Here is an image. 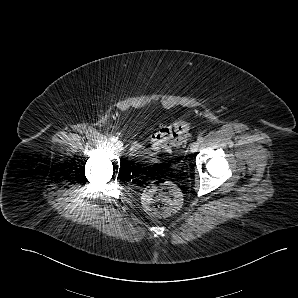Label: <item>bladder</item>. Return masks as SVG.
I'll list each match as a JSON object with an SVG mask.
<instances>
[{"label": "bladder", "mask_w": 298, "mask_h": 298, "mask_svg": "<svg viewBox=\"0 0 298 298\" xmlns=\"http://www.w3.org/2000/svg\"><path fill=\"white\" fill-rule=\"evenodd\" d=\"M130 154L133 158L138 160H149L152 157L145 141L140 138H133L130 144Z\"/></svg>", "instance_id": "bladder-1"}]
</instances>
